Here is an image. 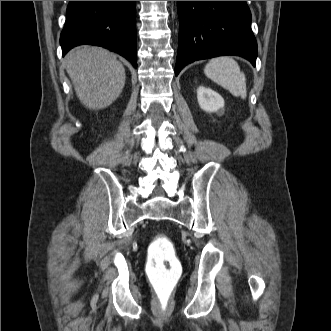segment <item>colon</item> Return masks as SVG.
<instances>
[{
	"instance_id": "obj_1",
	"label": "colon",
	"mask_w": 331,
	"mask_h": 331,
	"mask_svg": "<svg viewBox=\"0 0 331 331\" xmlns=\"http://www.w3.org/2000/svg\"><path fill=\"white\" fill-rule=\"evenodd\" d=\"M146 274L155 294L156 305L160 308L169 307L182 274V266L168 237L158 235L152 241L148 251Z\"/></svg>"
}]
</instances>
